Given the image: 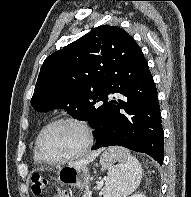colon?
I'll return each mask as SVG.
<instances>
[{"label":"colon","mask_w":191,"mask_h":197,"mask_svg":"<svg viewBox=\"0 0 191 197\" xmlns=\"http://www.w3.org/2000/svg\"><path fill=\"white\" fill-rule=\"evenodd\" d=\"M32 180V192L35 195H40L48 185V179L39 173H34L31 177Z\"/></svg>","instance_id":"colon-1"}]
</instances>
